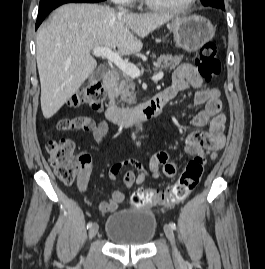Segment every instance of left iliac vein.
I'll list each match as a JSON object with an SVG mask.
<instances>
[{"label": "left iliac vein", "mask_w": 265, "mask_h": 269, "mask_svg": "<svg viewBox=\"0 0 265 269\" xmlns=\"http://www.w3.org/2000/svg\"><path fill=\"white\" fill-rule=\"evenodd\" d=\"M164 232H165L166 237L168 238V240L170 241V243L172 245V252H173L174 258L180 259V253L177 250L176 245H175V236H174L173 229L169 225H165Z\"/></svg>", "instance_id": "obj_1"}]
</instances>
